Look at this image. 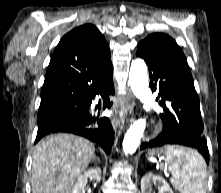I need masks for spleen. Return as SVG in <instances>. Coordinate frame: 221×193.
<instances>
[{"instance_id":"1","label":"spleen","mask_w":221,"mask_h":193,"mask_svg":"<svg viewBox=\"0 0 221 193\" xmlns=\"http://www.w3.org/2000/svg\"><path fill=\"white\" fill-rule=\"evenodd\" d=\"M165 151L170 182L180 193H206L207 173L203 157L190 146H159Z\"/></svg>"}]
</instances>
